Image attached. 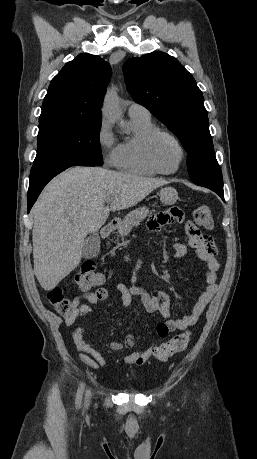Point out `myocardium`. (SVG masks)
<instances>
[{
    "mask_svg": "<svg viewBox=\"0 0 257 459\" xmlns=\"http://www.w3.org/2000/svg\"><path fill=\"white\" fill-rule=\"evenodd\" d=\"M160 136H166V137L170 138L177 145V147L180 150L181 157H180V160H179V163H178L177 167L174 170H171V171L163 170L157 164V162L155 161V158H154V155H153V146H154L155 141ZM143 148H144V155H145L146 161L148 162V164L157 173H160V174L172 175V174L177 173L181 169V167H182V165H183V163H184V161L186 159V150H185L183 144L181 143V141L173 133H171V132H169L167 130L156 128L153 131H151L148 134V136L146 137L145 141H144V147Z\"/></svg>",
    "mask_w": 257,
    "mask_h": 459,
    "instance_id": "f54148a6",
    "label": "myocardium"
}]
</instances>
